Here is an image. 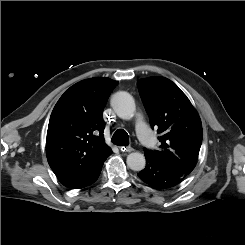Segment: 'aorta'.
<instances>
[{"label": "aorta", "instance_id": "1", "mask_svg": "<svg viewBox=\"0 0 245 245\" xmlns=\"http://www.w3.org/2000/svg\"><path fill=\"white\" fill-rule=\"evenodd\" d=\"M112 107L118 117L124 120H130L136 110L133 97L124 91L114 94L112 101ZM127 165L131 170L141 171L145 168L146 160L143 154L139 152L130 153L127 156Z\"/></svg>", "mask_w": 245, "mask_h": 245}]
</instances>
